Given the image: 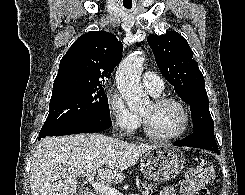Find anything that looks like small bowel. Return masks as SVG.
Masks as SVG:
<instances>
[{"label": "small bowel", "instance_id": "1", "mask_svg": "<svg viewBox=\"0 0 245 195\" xmlns=\"http://www.w3.org/2000/svg\"><path fill=\"white\" fill-rule=\"evenodd\" d=\"M158 195H176L175 190L172 187L163 188Z\"/></svg>", "mask_w": 245, "mask_h": 195}]
</instances>
